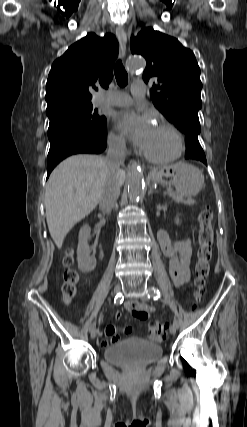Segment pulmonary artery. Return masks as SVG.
<instances>
[{
	"label": "pulmonary artery",
	"instance_id": "pulmonary-artery-1",
	"mask_svg": "<svg viewBox=\"0 0 247 427\" xmlns=\"http://www.w3.org/2000/svg\"><path fill=\"white\" fill-rule=\"evenodd\" d=\"M145 85L142 82H136L133 84L131 88V93L133 97L136 99H142L145 95ZM133 102V99L125 93H118L114 95H107L103 97L102 103L106 105H112V106H128L131 105Z\"/></svg>",
	"mask_w": 247,
	"mask_h": 427
}]
</instances>
